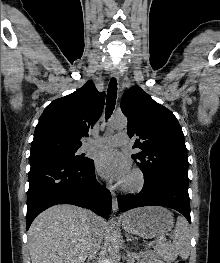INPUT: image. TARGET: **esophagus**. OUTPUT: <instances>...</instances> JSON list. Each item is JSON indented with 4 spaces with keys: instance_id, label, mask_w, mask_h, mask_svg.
I'll return each instance as SVG.
<instances>
[{
    "instance_id": "34e87169",
    "label": "esophagus",
    "mask_w": 220,
    "mask_h": 263,
    "mask_svg": "<svg viewBox=\"0 0 220 263\" xmlns=\"http://www.w3.org/2000/svg\"><path fill=\"white\" fill-rule=\"evenodd\" d=\"M112 76L118 78V69L116 67L112 69ZM111 196H112V210L113 212H117L118 210L117 196L114 192L111 193Z\"/></svg>"
}]
</instances>
